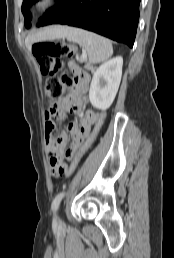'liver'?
<instances>
[{
    "label": "liver",
    "instance_id": "obj_1",
    "mask_svg": "<svg viewBox=\"0 0 174 258\" xmlns=\"http://www.w3.org/2000/svg\"><path fill=\"white\" fill-rule=\"evenodd\" d=\"M65 27L61 26H54L47 28L33 36H29L26 39V43L28 47H30V44L34 41H40V40H47V39H55L63 37Z\"/></svg>",
    "mask_w": 174,
    "mask_h": 258
}]
</instances>
